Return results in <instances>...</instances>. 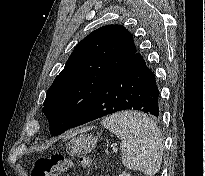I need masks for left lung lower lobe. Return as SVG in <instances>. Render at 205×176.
<instances>
[{
  "label": "left lung lower lobe",
  "mask_w": 205,
  "mask_h": 176,
  "mask_svg": "<svg viewBox=\"0 0 205 176\" xmlns=\"http://www.w3.org/2000/svg\"><path fill=\"white\" fill-rule=\"evenodd\" d=\"M158 96L155 75L136 52L98 89L94 100L81 111L71 128L126 109L158 117Z\"/></svg>",
  "instance_id": "1"
}]
</instances>
